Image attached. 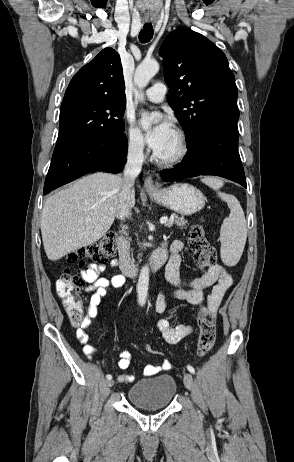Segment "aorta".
I'll use <instances>...</instances> for the list:
<instances>
[{"label": "aorta", "mask_w": 294, "mask_h": 462, "mask_svg": "<svg viewBox=\"0 0 294 462\" xmlns=\"http://www.w3.org/2000/svg\"><path fill=\"white\" fill-rule=\"evenodd\" d=\"M159 71V64L156 60H143L136 68L134 75V83L141 90L147 86L153 76ZM142 93H136V98H142ZM149 287V268L143 266L137 283V301L138 304L143 306L146 303L147 293Z\"/></svg>", "instance_id": "762f6f07"}]
</instances>
